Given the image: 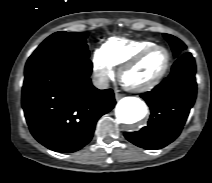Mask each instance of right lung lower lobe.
I'll return each mask as SVG.
<instances>
[{"mask_svg":"<svg viewBox=\"0 0 212 183\" xmlns=\"http://www.w3.org/2000/svg\"><path fill=\"white\" fill-rule=\"evenodd\" d=\"M88 58L28 60L22 107L34 138L45 147L69 153L91 140L97 120L116 104L111 89L98 90Z\"/></svg>","mask_w":212,"mask_h":183,"instance_id":"right-lung-lower-lobe-1","label":"right lung lower lobe"}]
</instances>
